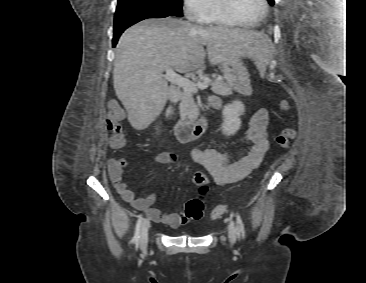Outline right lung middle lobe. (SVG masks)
Instances as JSON below:
<instances>
[{"label":"right lung middle lobe","mask_w":366,"mask_h":283,"mask_svg":"<svg viewBox=\"0 0 366 283\" xmlns=\"http://www.w3.org/2000/svg\"><path fill=\"white\" fill-rule=\"evenodd\" d=\"M141 9H157L171 16H183L182 0H118L116 13Z\"/></svg>","instance_id":"obj_1"}]
</instances>
